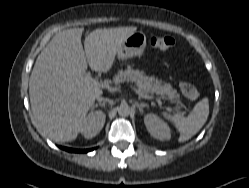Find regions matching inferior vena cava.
Masks as SVG:
<instances>
[{
  "mask_svg": "<svg viewBox=\"0 0 249 188\" xmlns=\"http://www.w3.org/2000/svg\"><path fill=\"white\" fill-rule=\"evenodd\" d=\"M99 102H101V101H109V102H111V100H109V99H107V98H103V97H97L96 98Z\"/></svg>",
  "mask_w": 249,
  "mask_h": 188,
  "instance_id": "obj_1",
  "label": "inferior vena cava"
}]
</instances>
